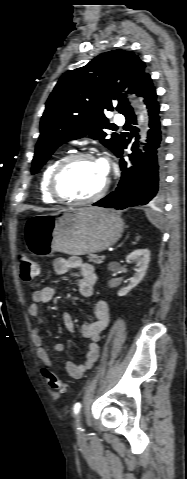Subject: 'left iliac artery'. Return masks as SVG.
<instances>
[{
    "label": "left iliac artery",
    "mask_w": 187,
    "mask_h": 479,
    "mask_svg": "<svg viewBox=\"0 0 187 479\" xmlns=\"http://www.w3.org/2000/svg\"><path fill=\"white\" fill-rule=\"evenodd\" d=\"M80 408H81V404L79 402H77L73 407V411H74L75 415H77L79 413Z\"/></svg>",
    "instance_id": "left-iliac-artery-1"
}]
</instances>
